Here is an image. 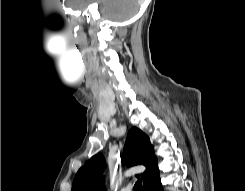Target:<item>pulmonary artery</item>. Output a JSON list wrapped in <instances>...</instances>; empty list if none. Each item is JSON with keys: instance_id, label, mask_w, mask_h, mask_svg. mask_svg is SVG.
I'll use <instances>...</instances> for the list:
<instances>
[{"instance_id": "obj_1", "label": "pulmonary artery", "mask_w": 245, "mask_h": 191, "mask_svg": "<svg viewBox=\"0 0 245 191\" xmlns=\"http://www.w3.org/2000/svg\"><path fill=\"white\" fill-rule=\"evenodd\" d=\"M123 191H130V188H126V189H124Z\"/></svg>"}]
</instances>
